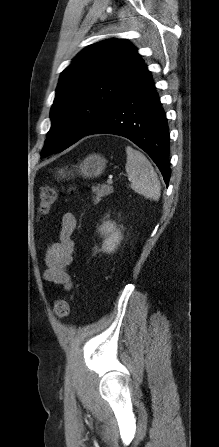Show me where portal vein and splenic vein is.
Masks as SVG:
<instances>
[{"mask_svg":"<svg viewBox=\"0 0 219 447\" xmlns=\"http://www.w3.org/2000/svg\"><path fill=\"white\" fill-rule=\"evenodd\" d=\"M108 184L112 185L113 184V180L112 179H108Z\"/></svg>","mask_w":219,"mask_h":447,"instance_id":"portal-vein-and-splenic-vein-1","label":"portal vein and splenic vein"}]
</instances>
